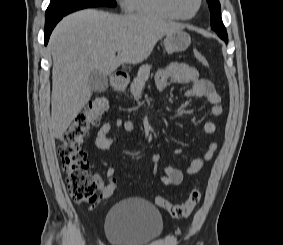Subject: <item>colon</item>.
<instances>
[{
	"mask_svg": "<svg viewBox=\"0 0 283 245\" xmlns=\"http://www.w3.org/2000/svg\"><path fill=\"white\" fill-rule=\"evenodd\" d=\"M195 58L203 66L208 67L207 58L200 52H194ZM109 101L106 97L92 99L74 118L61 138L58 154L66 174L68 191L71 198L78 204H94L97 201V183L89 172V162L86 152L82 148L83 141L90 129L99 124L103 113L108 109ZM116 180L112 178L101 191V198L109 199L116 191ZM199 189L190 191L187 199L179 204H173L167 199L157 196L155 204L166 210L173 218L189 217L201 201Z\"/></svg>",
	"mask_w": 283,
	"mask_h": 245,
	"instance_id": "colon-1",
	"label": "colon"
}]
</instances>
